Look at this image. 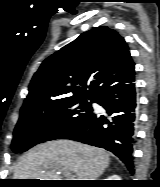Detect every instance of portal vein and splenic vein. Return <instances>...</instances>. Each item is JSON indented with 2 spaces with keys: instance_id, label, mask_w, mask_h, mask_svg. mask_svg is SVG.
<instances>
[{
  "instance_id": "1",
  "label": "portal vein and splenic vein",
  "mask_w": 160,
  "mask_h": 187,
  "mask_svg": "<svg viewBox=\"0 0 160 187\" xmlns=\"http://www.w3.org/2000/svg\"><path fill=\"white\" fill-rule=\"evenodd\" d=\"M64 174L66 175V177L68 178V180H76L75 176H73L70 172H66Z\"/></svg>"
}]
</instances>
